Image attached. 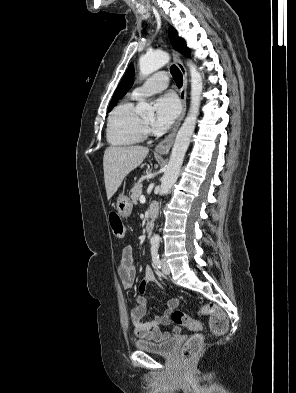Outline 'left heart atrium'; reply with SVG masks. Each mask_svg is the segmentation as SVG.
Wrapping results in <instances>:
<instances>
[{"instance_id": "1", "label": "left heart atrium", "mask_w": 296, "mask_h": 393, "mask_svg": "<svg viewBox=\"0 0 296 393\" xmlns=\"http://www.w3.org/2000/svg\"><path fill=\"white\" fill-rule=\"evenodd\" d=\"M180 111L177 98L167 93L156 100L153 125L160 130L169 128Z\"/></svg>"}]
</instances>
